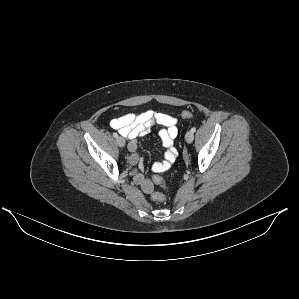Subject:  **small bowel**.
Instances as JSON below:
<instances>
[{
	"instance_id": "c3829d8e",
	"label": "small bowel",
	"mask_w": 299,
	"mask_h": 299,
	"mask_svg": "<svg viewBox=\"0 0 299 299\" xmlns=\"http://www.w3.org/2000/svg\"><path fill=\"white\" fill-rule=\"evenodd\" d=\"M156 124L163 126L159 131V138L166 148V152L163 160L153 163L152 170L156 173H163L169 170L178 156L175 147V138L178 133L177 119L175 117L148 110L139 114H126L110 121V126L129 141L128 149L130 155L128 160L131 165H135L139 162V157L136 153V139L149 133ZM143 169L144 165L140 162L139 171L134 173V180L142 187L145 193L150 194L154 188L153 182L144 177L142 173Z\"/></svg>"
}]
</instances>
